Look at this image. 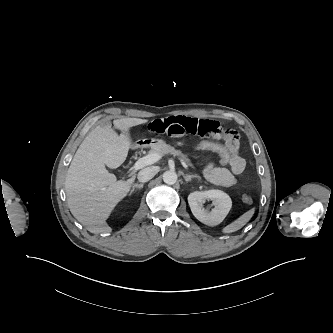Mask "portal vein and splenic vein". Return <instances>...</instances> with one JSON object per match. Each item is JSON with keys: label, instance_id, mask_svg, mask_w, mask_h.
Here are the masks:
<instances>
[{"label": "portal vein and splenic vein", "instance_id": "obj_1", "mask_svg": "<svg viewBox=\"0 0 333 333\" xmlns=\"http://www.w3.org/2000/svg\"><path fill=\"white\" fill-rule=\"evenodd\" d=\"M162 158V155L159 153H151L148 154L147 156H144L140 159H138L135 164L133 165L132 169L134 171H137L139 169H142L145 166L154 164L155 162H157L158 160H160ZM181 163L183 164L184 167H187L186 163L180 159Z\"/></svg>", "mask_w": 333, "mask_h": 333}]
</instances>
